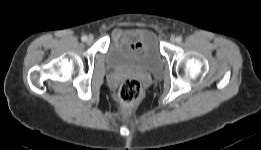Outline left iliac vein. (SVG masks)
Masks as SVG:
<instances>
[{
  "label": "left iliac vein",
  "mask_w": 261,
  "mask_h": 150,
  "mask_svg": "<svg viewBox=\"0 0 261 150\" xmlns=\"http://www.w3.org/2000/svg\"><path fill=\"white\" fill-rule=\"evenodd\" d=\"M170 41H171V43H175V42H176L175 37L172 36V37L170 38Z\"/></svg>",
  "instance_id": "obj_1"
}]
</instances>
